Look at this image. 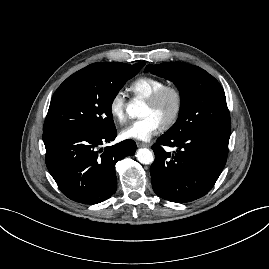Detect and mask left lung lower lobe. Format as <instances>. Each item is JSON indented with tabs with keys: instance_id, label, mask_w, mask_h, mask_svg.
Instances as JSON below:
<instances>
[{
	"instance_id": "obj_1",
	"label": "left lung lower lobe",
	"mask_w": 269,
	"mask_h": 269,
	"mask_svg": "<svg viewBox=\"0 0 269 269\" xmlns=\"http://www.w3.org/2000/svg\"><path fill=\"white\" fill-rule=\"evenodd\" d=\"M230 130L197 129L181 136L162 135L152 146L150 174L161 198L186 203L207 194L221 174L228 155ZM164 146L175 147L174 154Z\"/></svg>"
}]
</instances>
